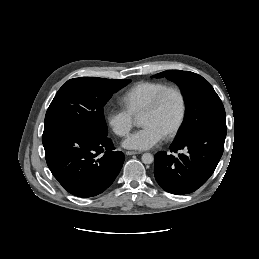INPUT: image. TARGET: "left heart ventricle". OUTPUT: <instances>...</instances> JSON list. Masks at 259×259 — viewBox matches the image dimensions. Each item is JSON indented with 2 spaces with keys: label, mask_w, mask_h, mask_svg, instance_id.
<instances>
[{
  "label": "left heart ventricle",
  "mask_w": 259,
  "mask_h": 259,
  "mask_svg": "<svg viewBox=\"0 0 259 259\" xmlns=\"http://www.w3.org/2000/svg\"><path fill=\"white\" fill-rule=\"evenodd\" d=\"M180 111L181 104L178 96L175 93H169L157 112L141 117V124L154 126L165 135L178 122Z\"/></svg>",
  "instance_id": "obj_1"
}]
</instances>
